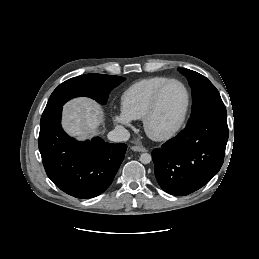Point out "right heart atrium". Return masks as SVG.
<instances>
[{
  "label": "right heart atrium",
  "instance_id": "1",
  "mask_svg": "<svg viewBox=\"0 0 259 259\" xmlns=\"http://www.w3.org/2000/svg\"><path fill=\"white\" fill-rule=\"evenodd\" d=\"M113 120L116 124L123 127H131L133 122V119L122 109L114 113Z\"/></svg>",
  "mask_w": 259,
  "mask_h": 259
}]
</instances>
